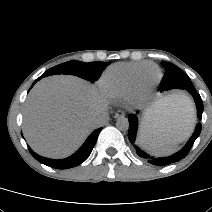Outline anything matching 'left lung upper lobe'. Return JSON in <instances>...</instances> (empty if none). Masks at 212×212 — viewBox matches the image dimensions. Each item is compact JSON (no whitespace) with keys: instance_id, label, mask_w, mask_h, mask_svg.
<instances>
[{"instance_id":"1","label":"left lung upper lobe","mask_w":212,"mask_h":212,"mask_svg":"<svg viewBox=\"0 0 212 212\" xmlns=\"http://www.w3.org/2000/svg\"><path fill=\"white\" fill-rule=\"evenodd\" d=\"M166 70L163 81L161 83V91L170 89H189L193 88L190 78L176 65L162 61Z\"/></svg>"}]
</instances>
